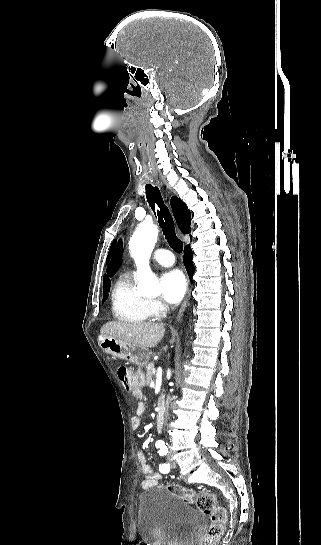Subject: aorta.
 Here are the masks:
<instances>
[{"label":"aorta","mask_w":321,"mask_h":545,"mask_svg":"<svg viewBox=\"0 0 321 545\" xmlns=\"http://www.w3.org/2000/svg\"><path fill=\"white\" fill-rule=\"evenodd\" d=\"M158 229L152 224H141L129 241V249L137 266L138 285L141 294L155 295L160 291L157 278L149 267V259L157 242Z\"/></svg>","instance_id":"1"}]
</instances>
